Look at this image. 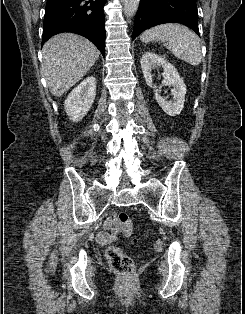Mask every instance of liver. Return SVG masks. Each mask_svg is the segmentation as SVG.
Returning <instances> with one entry per match:
<instances>
[{
    "instance_id": "6515ba94",
    "label": "liver",
    "mask_w": 245,
    "mask_h": 314,
    "mask_svg": "<svg viewBox=\"0 0 245 314\" xmlns=\"http://www.w3.org/2000/svg\"><path fill=\"white\" fill-rule=\"evenodd\" d=\"M42 73L51 94L62 96L91 69L100 52L88 39L61 33L43 46Z\"/></svg>"
}]
</instances>
